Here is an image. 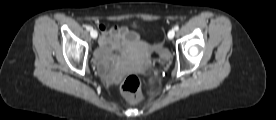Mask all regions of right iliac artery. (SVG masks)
<instances>
[{"instance_id":"right-iliac-artery-1","label":"right iliac artery","mask_w":276,"mask_h":120,"mask_svg":"<svg viewBox=\"0 0 276 120\" xmlns=\"http://www.w3.org/2000/svg\"><path fill=\"white\" fill-rule=\"evenodd\" d=\"M86 29H87L88 31H90V30H92V27H91V26H86Z\"/></svg>"}]
</instances>
